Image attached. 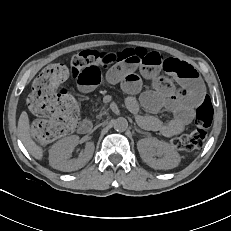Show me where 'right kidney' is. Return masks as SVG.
Here are the masks:
<instances>
[{
    "instance_id": "right-kidney-1",
    "label": "right kidney",
    "mask_w": 231,
    "mask_h": 231,
    "mask_svg": "<svg viewBox=\"0 0 231 231\" xmlns=\"http://www.w3.org/2000/svg\"><path fill=\"white\" fill-rule=\"evenodd\" d=\"M79 142V136L65 137L52 145L49 150V163L57 170L72 172L85 166L94 152V143L87 142L77 159H70L72 151Z\"/></svg>"
}]
</instances>
